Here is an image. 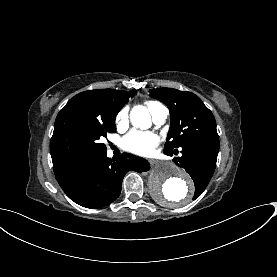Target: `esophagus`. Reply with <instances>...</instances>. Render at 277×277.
<instances>
[{
	"label": "esophagus",
	"instance_id": "34e87169",
	"mask_svg": "<svg viewBox=\"0 0 277 277\" xmlns=\"http://www.w3.org/2000/svg\"><path fill=\"white\" fill-rule=\"evenodd\" d=\"M150 161V163L153 165L154 163H155V161L154 160H149Z\"/></svg>",
	"mask_w": 277,
	"mask_h": 277
}]
</instances>
